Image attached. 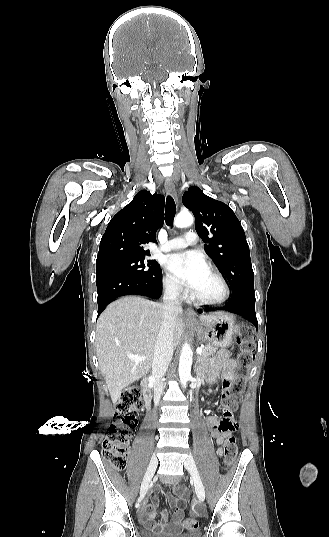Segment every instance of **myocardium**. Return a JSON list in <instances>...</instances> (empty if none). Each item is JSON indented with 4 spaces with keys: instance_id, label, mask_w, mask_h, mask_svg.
I'll use <instances>...</instances> for the list:
<instances>
[{
    "instance_id": "obj_1",
    "label": "myocardium",
    "mask_w": 329,
    "mask_h": 537,
    "mask_svg": "<svg viewBox=\"0 0 329 537\" xmlns=\"http://www.w3.org/2000/svg\"><path fill=\"white\" fill-rule=\"evenodd\" d=\"M207 270L217 279L221 286V294L215 298H204L193 294L192 298L199 304L203 305H218L224 303L230 296L229 285L224 276L213 266L208 265Z\"/></svg>"
}]
</instances>
